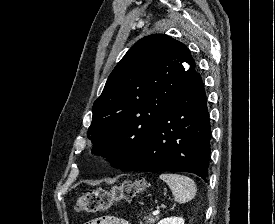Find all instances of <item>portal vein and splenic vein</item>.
<instances>
[{
  "mask_svg": "<svg viewBox=\"0 0 275 224\" xmlns=\"http://www.w3.org/2000/svg\"><path fill=\"white\" fill-rule=\"evenodd\" d=\"M159 213H160V209L153 211V215H158Z\"/></svg>",
  "mask_w": 275,
  "mask_h": 224,
  "instance_id": "18ae733b",
  "label": "portal vein and splenic vein"
}]
</instances>
